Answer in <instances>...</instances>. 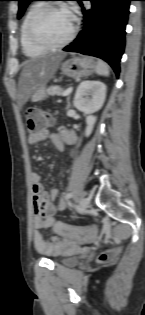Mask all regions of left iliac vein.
Masks as SVG:
<instances>
[{
	"mask_svg": "<svg viewBox=\"0 0 145 315\" xmlns=\"http://www.w3.org/2000/svg\"><path fill=\"white\" fill-rule=\"evenodd\" d=\"M90 204V200L88 198H82L79 202L80 209L82 211L86 210Z\"/></svg>",
	"mask_w": 145,
	"mask_h": 315,
	"instance_id": "4c4485c4",
	"label": "left iliac vein"
}]
</instances>
